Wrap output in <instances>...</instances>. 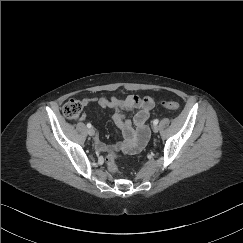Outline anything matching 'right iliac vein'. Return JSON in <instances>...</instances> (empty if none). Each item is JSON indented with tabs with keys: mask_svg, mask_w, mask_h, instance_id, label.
I'll return each mask as SVG.
<instances>
[{
	"mask_svg": "<svg viewBox=\"0 0 243 243\" xmlns=\"http://www.w3.org/2000/svg\"><path fill=\"white\" fill-rule=\"evenodd\" d=\"M88 135H90V136H94V135H95V130H94L93 128H90V129L88 130Z\"/></svg>",
	"mask_w": 243,
	"mask_h": 243,
	"instance_id": "63e3f726",
	"label": "right iliac vein"
}]
</instances>
